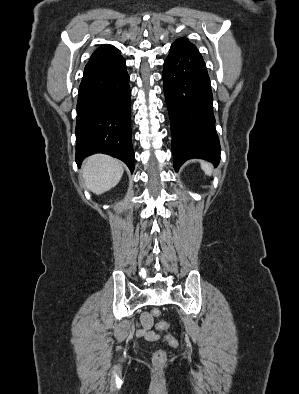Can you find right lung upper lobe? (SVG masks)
Wrapping results in <instances>:
<instances>
[{
	"label": "right lung upper lobe",
	"instance_id": "obj_1",
	"mask_svg": "<svg viewBox=\"0 0 299 394\" xmlns=\"http://www.w3.org/2000/svg\"><path fill=\"white\" fill-rule=\"evenodd\" d=\"M119 55L117 49L112 45H106L98 48L91 56L90 61L97 60L109 56Z\"/></svg>",
	"mask_w": 299,
	"mask_h": 394
}]
</instances>
